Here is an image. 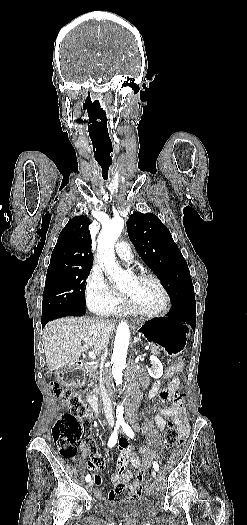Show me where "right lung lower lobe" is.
Instances as JSON below:
<instances>
[{
  "mask_svg": "<svg viewBox=\"0 0 247 525\" xmlns=\"http://www.w3.org/2000/svg\"><path fill=\"white\" fill-rule=\"evenodd\" d=\"M62 313H67L66 315L79 316L85 313V308L81 310L80 309L64 310ZM66 315H63V316H66ZM47 322H48L47 320H42V327H44Z\"/></svg>",
  "mask_w": 247,
  "mask_h": 525,
  "instance_id": "obj_1",
  "label": "right lung lower lobe"
}]
</instances>
